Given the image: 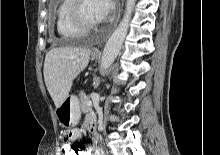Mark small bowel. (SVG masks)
Masks as SVG:
<instances>
[{
    "label": "small bowel",
    "mask_w": 220,
    "mask_h": 155,
    "mask_svg": "<svg viewBox=\"0 0 220 155\" xmlns=\"http://www.w3.org/2000/svg\"><path fill=\"white\" fill-rule=\"evenodd\" d=\"M92 121H95V116L93 114H89L86 118V124L88 125V127L90 126ZM79 133V130L75 129V126H64V130H62V140L78 141ZM82 155H90V151L83 149Z\"/></svg>",
    "instance_id": "small-bowel-1"
}]
</instances>
